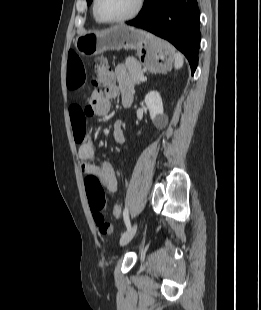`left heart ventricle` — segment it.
<instances>
[{"instance_id":"obj_1","label":"left heart ventricle","mask_w":261,"mask_h":310,"mask_svg":"<svg viewBox=\"0 0 261 310\" xmlns=\"http://www.w3.org/2000/svg\"><path fill=\"white\" fill-rule=\"evenodd\" d=\"M135 4L136 0H99L98 12L108 19L120 18L128 15Z\"/></svg>"}]
</instances>
